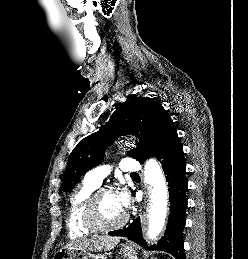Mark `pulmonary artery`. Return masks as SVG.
Instances as JSON below:
<instances>
[{"instance_id": "1", "label": "pulmonary artery", "mask_w": 248, "mask_h": 259, "mask_svg": "<svg viewBox=\"0 0 248 259\" xmlns=\"http://www.w3.org/2000/svg\"><path fill=\"white\" fill-rule=\"evenodd\" d=\"M119 169L122 172L132 174L137 173L141 169V166L135 159L124 158L119 164ZM109 172V166H98L89 170L85 175V179L99 186L102 183L103 179L109 174Z\"/></svg>"}]
</instances>
